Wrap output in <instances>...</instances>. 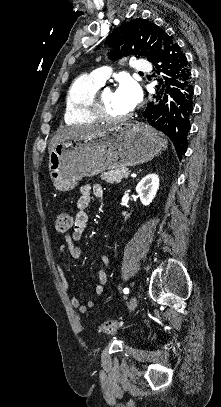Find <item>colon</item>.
Segmentation results:
<instances>
[{
  "instance_id": "5ec220e1",
  "label": "colon",
  "mask_w": 221,
  "mask_h": 407,
  "mask_svg": "<svg viewBox=\"0 0 221 407\" xmlns=\"http://www.w3.org/2000/svg\"><path fill=\"white\" fill-rule=\"evenodd\" d=\"M73 223L70 213L67 211H61L57 215L56 230L59 233H66L71 228ZM122 325V322L117 319L107 320L97 327V331L100 333L111 334L115 333Z\"/></svg>"
}]
</instances>
